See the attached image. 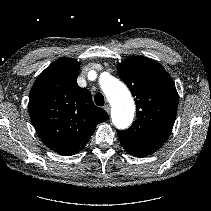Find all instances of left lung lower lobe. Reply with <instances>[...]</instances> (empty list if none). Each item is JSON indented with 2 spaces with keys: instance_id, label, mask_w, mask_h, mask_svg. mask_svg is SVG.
Listing matches in <instances>:
<instances>
[{
  "instance_id": "obj_1",
  "label": "left lung lower lobe",
  "mask_w": 211,
  "mask_h": 211,
  "mask_svg": "<svg viewBox=\"0 0 211 211\" xmlns=\"http://www.w3.org/2000/svg\"><path fill=\"white\" fill-rule=\"evenodd\" d=\"M118 139L122 147L130 154L136 157L148 156L156 152L163 145L159 143H142V142L131 141L129 139H125L119 136Z\"/></svg>"
}]
</instances>
